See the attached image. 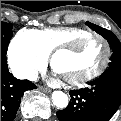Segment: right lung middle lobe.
Listing matches in <instances>:
<instances>
[{
    "mask_svg": "<svg viewBox=\"0 0 121 121\" xmlns=\"http://www.w3.org/2000/svg\"><path fill=\"white\" fill-rule=\"evenodd\" d=\"M12 36V25L1 22V54L5 55Z\"/></svg>",
    "mask_w": 121,
    "mask_h": 121,
    "instance_id": "right-lung-middle-lobe-1",
    "label": "right lung middle lobe"
}]
</instances>
